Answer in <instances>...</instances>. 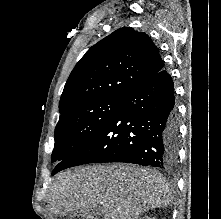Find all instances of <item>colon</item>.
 <instances>
[{
    "instance_id": "colon-1",
    "label": "colon",
    "mask_w": 221,
    "mask_h": 219,
    "mask_svg": "<svg viewBox=\"0 0 221 219\" xmlns=\"http://www.w3.org/2000/svg\"><path fill=\"white\" fill-rule=\"evenodd\" d=\"M71 219H89V218L86 215H83L81 213H77L74 216H72Z\"/></svg>"
}]
</instances>
